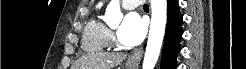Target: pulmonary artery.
I'll use <instances>...</instances> for the list:
<instances>
[{
	"label": "pulmonary artery",
	"mask_w": 246,
	"mask_h": 69,
	"mask_svg": "<svg viewBox=\"0 0 246 69\" xmlns=\"http://www.w3.org/2000/svg\"><path fill=\"white\" fill-rule=\"evenodd\" d=\"M142 3L140 0H125L123 1V6L126 9H134L140 7Z\"/></svg>",
	"instance_id": "e3ab8cb5"
}]
</instances>
